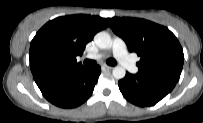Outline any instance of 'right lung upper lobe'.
Instances as JSON below:
<instances>
[{
	"label": "right lung upper lobe",
	"instance_id": "1",
	"mask_svg": "<svg viewBox=\"0 0 203 123\" xmlns=\"http://www.w3.org/2000/svg\"><path fill=\"white\" fill-rule=\"evenodd\" d=\"M107 26V21L99 16L79 14L55 18L36 33L29 57L35 50L49 47L59 53V67L82 66L77 63L76 56L82 55L86 44Z\"/></svg>",
	"mask_w": 203,
	"mask_h": 123
}]
</instances>
